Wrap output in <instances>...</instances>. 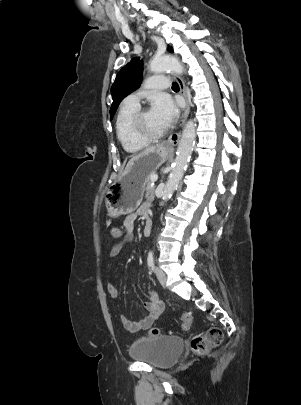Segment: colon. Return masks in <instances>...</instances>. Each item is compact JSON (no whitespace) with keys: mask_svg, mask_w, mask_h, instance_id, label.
I'll list each match as a JSON object with an SVG mask.
<instances>
[{"mask_svg":"<svg viewBox=\"0 0 301 405\" xmlns=\"http://www.w3.org/2000/svg\"><path fill=\"white\" fill-rule=\"evenodd\" d=\"M108 236H118L119 229L116 228L115 224H109L107 226ZM183 325L185 328L189 327L192 322V318L189 314L185 313L182 317ZM162 331L159 329H151L149 331L150 336L161 335ZM223 341V333L219 328L213 327L208 329L203 334L194 336L191 339V350L196 355H205L213 348L219 346Z\"/></svg>","mask_w":301,"mask_h":405,"instance_id":"5ec220e1","label":"colon"}]
</instances>
